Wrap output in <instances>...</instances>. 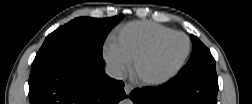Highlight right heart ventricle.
<instances>
[{
	"instance_id": "e07e8e85",
	"label": "right heart ventricle",
	"mask_w": 252,
	"mask_h": 104,
	"mask_svg": "<svg viewBox=\"0 0 252 104\" xmlns=\"http://www.w3.org/2000/svg\"><path fill=\"white\" fill-rule=\"evenodd\" d=\"M166 33L149 23H133L123 28L113 45L128 61H132L154 38Z\"/></svg>"
}]
</instances>
